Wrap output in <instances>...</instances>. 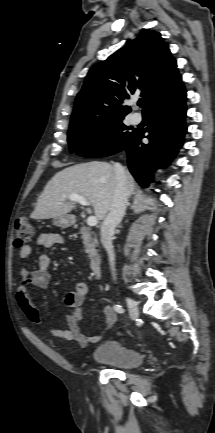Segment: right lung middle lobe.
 <instances>
[{
	"label": "right lung middle lobe",
	"mask_w": 215,
	"mask_h": 433,
	"mask_svg": "<svg viewBox=\"0 0 215 433\" xmlns=\"http://www.w3.org/2000/svg\"><path fill=\"white\" fill-rule=\"evenodd\" d=\"M124 117L70 125L68 143L70 152L84 157H105L119 152L134 131L122 122ZM110 137L105 142H100Z\"/></svg>",
	"instance_id": "right-lung-middle-lobe-1"
}]
</instances>
